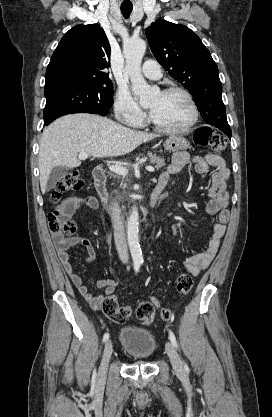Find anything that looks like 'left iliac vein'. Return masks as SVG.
I'll list each match as a JSON object with an SVG mask.
<instances>
[{"mask_svg":"<svg viewBox=\"0 0 272 417\" xmlns=\"http://www.w3.org/2000/svg\"><path fill=\"white\" fill-rule=\"evenodd\" d=\"M165 350H166L167 355L169 356V359L171 361L173 369L177 373L183 372L182 361H181L177 351L175 350L174 346L170 342H167L166 345H165Z\"/></svg>","mask_w":272,"mask_h":417,"instance_id":"4c4485c4","label":"left iliac vein"}]
</instances>
